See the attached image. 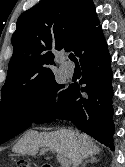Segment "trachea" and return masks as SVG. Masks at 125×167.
I'll return each instance as SVG.
<instances>
[{
    "label": "trachea",
    "mask_w": 125,
    "mask_h": 167,
    "mask_svg": "<svg viewBox=\"0 0 125 167\" xmlns=\"http://www.w3.org/2000/svg\"><path fill=\"white\" fill-rule=\"evenodd\" d=\"M69 59L72 60L75 63V65H79L78 60L76 59L74 54L71 53L69 55Z\"/></svg>",
    "instance_id": "3493384b"
}]
</instances>
